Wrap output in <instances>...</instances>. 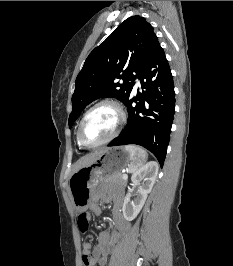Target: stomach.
I'll return each mask as SVG.
<instances>
[{
    "label": "stomach",
    "instance_id": "1",
    "mask_svg": "<svg viewBox=\"0 0 233 266\" xmlns=\"http://www.w3.org/2000/svg\"><path fill=\"white\" fill-rule=\"evenodd\" d=\"M132 164V157L125 147L104 149L90 165L74 172L69 179V190L78 213L86 210L90 195L110 174L120 173Z\"/></svg>",
    "mask_w": 233,
    "mask_h": 266
}]
</instances>
